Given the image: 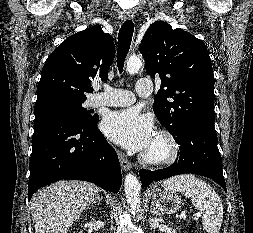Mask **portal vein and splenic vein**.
Listing matches in <instances>:
<instances>
[{
    "label": "portal vein and splenic vein",
    "instance_id": "obj_1",
    "mask_svg": "<svg viewBox=\"0 0 253 233\" xmlns=\"http://www.w3.org/2000/svg\"><path fill=\"white\" fill-rule=\"evenodd\" d=\"M202 215V213L198 212L195 214L196 217H200ZM185 217V211H183L181 214H180V218H183Z\"/></svg>",
    "mask_w": 253,
    "mask_h": 233
}]
</instances>
